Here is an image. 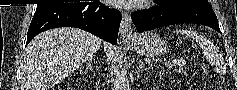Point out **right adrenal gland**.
I'll use <instances>...</instances> for the list:
<instances>
[{
	"mask_svg": "<svg viewBox=\"0 0 237 90\" xmlns=\"http://www.w3.org/2000/svg\"><path fill=\"white\" fill-rule=\"evenodd\" d=\"M85 72H86V74H88V72H93V76H95V72H94L93 66H92V58H91V60H88V62L86 64Z\"/></svg>",
	"mask_w": 237,
	"mask_h": 90,
	"instance_id": "2a0ac1e0",
	"label": "right adrenal gland"
}]
</instances>
